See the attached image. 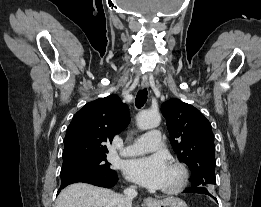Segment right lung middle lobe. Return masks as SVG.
I'll use <instances>...</instances> for the list:
<instances>
[{
	"label": "right lung middle lobe",
	"mask_w": 261,
	"mask_h": 207,
	"mask_svg": "<svg viewBox=\"0 0 261 207\" xmlns=\"http://www.w3.org/2000/svg\"><path fill=\"white\" fill-rule=\"evenodd\" d=\"M106 160V155L80 156L64 160L60 177L61 180L75 175L115 174Z\"/></svg>",
	"instance_id": "dd1d6c3e"
}]
</instances>
